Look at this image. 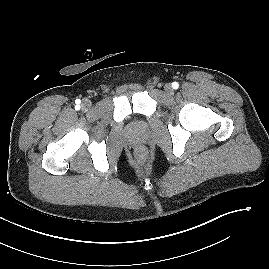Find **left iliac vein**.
I'll use <instances>...</instances> for the list:
<instances>
[{"label": "left iliac vein", "mask_w": 269, "mask_h": 269, "mask_svg": "<svg viewBox=\"0 0 269 269\" xmlns=\"http://www.w3.org/2000/svg\"><path fill=\"white\" fill-rule=\"evenodd\" d=\"M164 89H165V91H166L167 94H169V95H172V94H173V89H172L171 84L167 83V84L164 86Z\"/></svg>", "instance_id": "1"}]
</instances>
